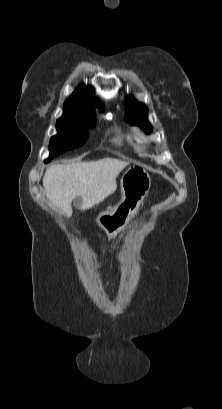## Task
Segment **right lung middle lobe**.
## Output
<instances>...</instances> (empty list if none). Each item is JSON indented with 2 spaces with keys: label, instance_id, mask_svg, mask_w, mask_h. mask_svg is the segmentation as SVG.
Wrapping results in <instances>:
<instances>
[{
  "label": "right lung middle lobe",
  "instance_id": "1",
  "mask_svg": "<svg viewBox=\"0 0 222 409\" xmlns=\"http://www.w3.org/2000/svg\"><path fill=\"white\" fill-rule=\"evenodd\" d=\"M96 116L94 111H73L63 113L56 122L57 135L50 139V157L81 146L89 136L88 129L95 126Z\"/></svg>",
  "mask_w": 222,
  "mask_h": 409
}]
</instances>
